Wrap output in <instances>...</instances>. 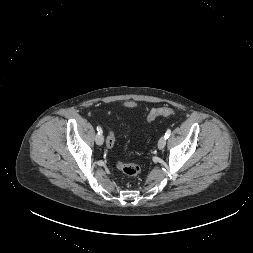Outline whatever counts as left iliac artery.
Instances as JSON below:
<instances>
[{
    "instance_id": "left-iliac-artery-1",
    "label": "left iliac artery",
    "mask_w": 253,
    "mask_h": 253,
    "mask_svg": "<svg viewBox=\"0 0 253 253\" xmlns=\"http://www.w3.org/2000/svg\"><path fill=\"white\" fill-rule=\"evenodd\" d=\"M170 134H171V130L168 129V130L166 131V133H165V138L168 139L169 136H170Z\"/></svg>"
}]
</instances>
